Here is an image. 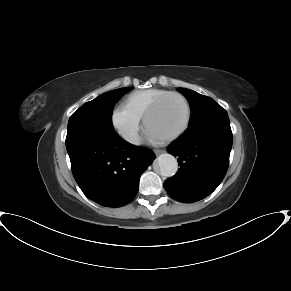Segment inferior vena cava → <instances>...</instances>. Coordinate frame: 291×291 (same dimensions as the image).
I'll list each match as a JSON object with an SVG mask.
<instances>
[{
	"mask_svg": "<svg viewBox=\"0 0 291 291\" xmlns=\"http://www.w3.org/2000/svg\"><path fill=\"white\" fill-rule=\"evenodd\" d=\"M133 143L134 144H138V138L137 137L134 138Z\"/></svg>",
	"mask_w": 291,
	"mask_h": 291,
	"instance_id": "obj_1",
	"label": "inferior vena cava"
}]
</instances>
